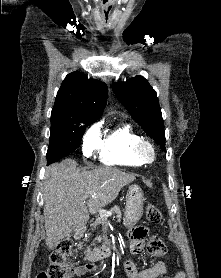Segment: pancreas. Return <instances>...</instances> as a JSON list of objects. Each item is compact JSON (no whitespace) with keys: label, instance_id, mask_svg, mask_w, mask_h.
<instances>
[{"label":"pancreas","instance_id":"obj_1","mask_svg":"<svg viewBox=\"0 0 221 278\" xmlns=\"http://www.w3.org/2000/svg\"><path fill=\"white\" fill-rule=\"evenodd\" d=\"M109 214H107V211H99V219H96L95 222L92 223V227L95 229L96 227H102L104 225L105 227L108 225L107 220L108 217H116L118 221L121 220L122 214L121 210L118 206H114L108 211ZM104 223V224H102ZM85 253H89V248L85 251Z\"/></svg>","mask_w":221,"mask_h":278}]
</instances>
